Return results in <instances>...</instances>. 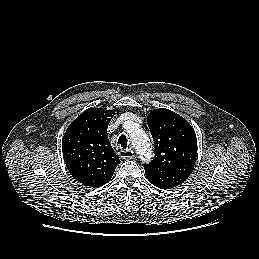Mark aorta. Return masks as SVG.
<instances>
[{
    "mask_svg": "<svg viewBox=\"0 0 259 259\" xmlns=\"http://www.w3.org/2000/svg\"><path fill=\"white\" fill-rule=\"evenodd\" d=\"M129 136L132 145L135 147L143 162H147L151 159V147L149 144V138L147 134L140 128L137 123H129Z\"/></svg>",
    "mask_w": 259,
    "mask_h": 259,
    "instance_id": "1",
    "label": "aorta"
}]
</instances>
